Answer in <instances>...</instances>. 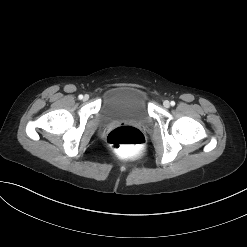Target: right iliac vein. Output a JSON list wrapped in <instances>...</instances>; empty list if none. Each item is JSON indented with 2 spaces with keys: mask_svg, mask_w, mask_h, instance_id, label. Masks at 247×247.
<instances>
[{
  "mask_svg": "<svg viewBox=\"0 0 247 247\" xmlns=\"http://www.w3.org/2000/svg\"><path fill=\"white\" fill-rule=\"evenodd\" d=\"M89 99V96L88 95H85L84 97H83V100L84 101H87Z\"/></svg>",
  "mask_w": 247,
  "mask_h": 247,
  "instance_id": "63e3f726",
  "label": "right iliac vein"
}]
</instances>
